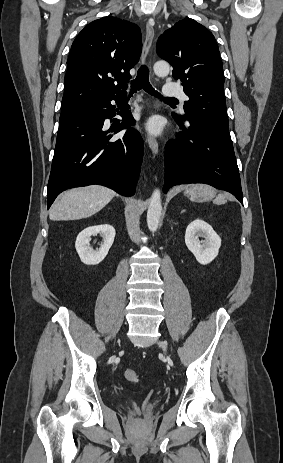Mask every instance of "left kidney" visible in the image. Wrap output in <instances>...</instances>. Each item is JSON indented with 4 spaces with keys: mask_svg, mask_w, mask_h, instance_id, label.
I'll list each match as a JSON object with an SVG mask.
<instances>
[{
    "mask_svg": "<svg viewBox=\"0 0 283 463\" xmlns=\"http://www.w3.org/2000/svg\"><path fill=\"white\" fill-rule=\"evenodd\" d=\"M199 237H203L205 240L200 241ZM185 243L196 260L200 264L206 265L217 257L221 247V238L207 222L196 219L186 228Z\"/></svg>",
    "mask_w": 283,
    "mask_h": 463,
    "instance_id": "1",
    "label": "left kidney"
}]
</instances>
